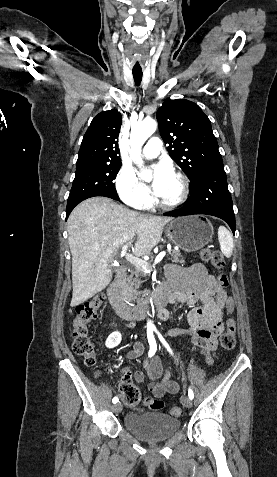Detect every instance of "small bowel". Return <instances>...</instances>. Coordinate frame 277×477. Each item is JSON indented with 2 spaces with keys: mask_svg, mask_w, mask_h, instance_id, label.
Segmentation results:
<instances>
[{
  "mask_svg": "<svg viewBox=\"0 0 277 477\" xmlns=\"http://www.w3.org/2000/svg\"><path fill=\"white\" fill-rule=\"evenodd\" d=\"M165 274L168 281L162 291L171 293L175 300L186 305H194L198 301L202 303L190 310L188 314L189 328H170L169 335L187 336L192 347L200 350L206 356V362L209 365L212 364L210 352L216 348L217 338L225 330L223 306L229 297L226 290L218 282V279L210 275L200 263L187 267L170 264L166 266ZM167 317L168 313L165 311L159 315L161 320H166ZM118 326L114 325V327ZM128 326L133 327V324L130 323ZM143 352V344L136 341L132 349L126 353V357L135 359ZM143 365L146 374L143 371H137L134 373V379L141 383L145 380L146 375L148 376L150 379L148 388L152 398L160 399L165 394H175L179 391V384L172 379L169 370L164 372L158 356L151 360H145ZM125 380L131 381V372L128 369L124 370L123 381Z\"/></svg>",
  "mask_w": 277,
  "mask_h": 477,
  "instance_id": "obj_1",
  "label": "small bowel"
}]
</instances>
